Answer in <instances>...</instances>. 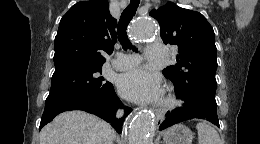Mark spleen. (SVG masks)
<instances>
[{"label":"spleen","mask_w":260,"mask_h":144,"mask_svg":"<svg viewBox=\"0 0 260 144\" xmlns=\"http://www.w3.org/2000/svg\"><path fill=\"white\" fill-rule=\"evenodd\" d=\"M199 144H222L217 131L207 123L200 122L196 125Z\"/></svg>","instance_id":"3e777b00"}]
</instances>
